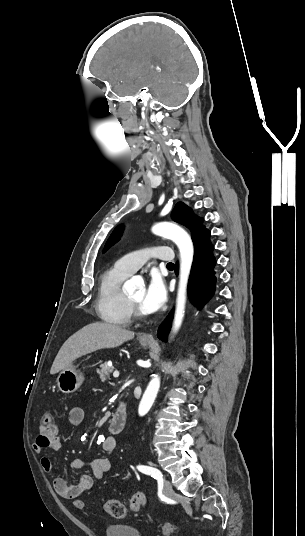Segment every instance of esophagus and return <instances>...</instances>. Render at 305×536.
<instances>
[{
	"label": "esophagus",
	"mask_w": 305,
	"mask_h": 536,
	"mask_svg": "<svg viewBox=\"0 0 305 536\" xmlns=\"http://www.w3.org/2000/svg\"><path fill=\"white\" fill-rule=\"evenodd\" d=\"M142 341L143 342H149V341H154V339H153L152 335L146 334V335L142 336Z\"/></svg>",
	"instance_id": "1"
}]
</instances>
